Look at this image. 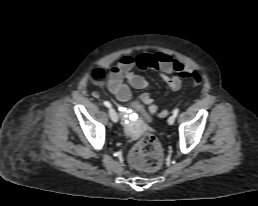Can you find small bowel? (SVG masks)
Masks as SVG:
<instances>
[{"mask_svg": "<svg viewBox=\"0 0 258 206\" xmlns=\"http://www.w3.org/2000/svg\"><path fill=\"white\" fill-rule=\"evenodd\" d=\"M135 69L157 72L173 91L181 88L183 79H190L193 85H197L201 81L198 71L165 53H146L137 57L125 55L111 68L106 83L109 92L118 100L126 101L129 99L131 93L129 86L135 89H144L149 86V81L136 74ZM141 99L150 105L151 113H157L158 106L154 103L149 93L144 92L141 95ZM166 113L167 111L163 110L159 113V116L163 117Z\"/></svg>", "mask_w": 258, "mask_h": 206, "instance_id": "small-bowel-1", "label": "small bowel"}]
</instances>
